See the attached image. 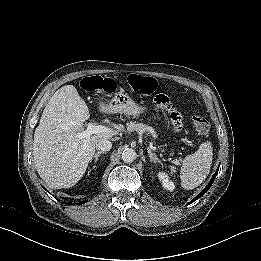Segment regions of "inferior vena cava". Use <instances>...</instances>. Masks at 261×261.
<instances>
[{
	"label": "inferior vena cava",
	"instance_id": "inferior-vena-cava-1",
	"mask_svg": "<svg viewBox=\"0 0 261 261\" xmlns=\"http://www.w3.org/2000/svg\"><path fill=\"white\" fill-rule=\"evenodd\" d=\"M112 147V143L108 139H100L96 143V149L99 151H109Z\"/></svg>",
	"mask_w": 261,
	"mask_h": 261
}]
</instances>
